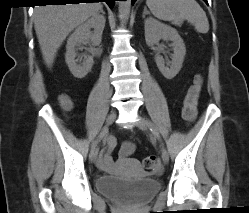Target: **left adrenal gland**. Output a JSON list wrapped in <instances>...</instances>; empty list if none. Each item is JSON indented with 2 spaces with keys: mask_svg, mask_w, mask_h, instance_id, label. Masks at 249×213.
<instances>
[{
  "mask_svg": "<svg viewBox=\"0 0 249 213\" xmlns=\"http://www.w3.org/2000/svg\"><path fill=\"white\" fill-rule=\"evenodd\" d=\"M149 14V11L147 10L146 7H144V11H143V18H145V15Z\"/></svg>",
  "mask_w": 249,
  "mask_h": 213,
  "instance_id": "left-adrenal-gland-1",
  "label": "left adrenal gland"
}]
</instances>
